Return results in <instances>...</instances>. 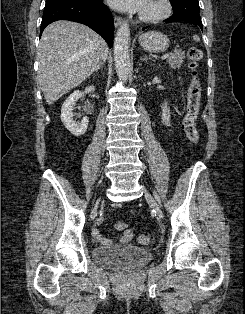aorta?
<instances>
[{"label":"aorta","instance_id":"obj_1","mask_svg":"<svg viewBox=\"0 0 245 314\" xmlns=\"http://www.w3.org/2000/svg\"><path fill=\"white\" fill-rule=\"evenodd\" d=\"M130 28L127 22L119 27L114 39V62L118 77L126 81L130 73Z\"/></svg>","mask_w":245,"mask_h":314}]
</instances>
